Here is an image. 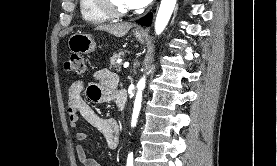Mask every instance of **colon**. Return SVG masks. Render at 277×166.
Here are the masks:
<instances>
[{
	"instance_id": "colon-1",
	"label": "colon",
	"mask_w": 277,
	"mask_h": 166,
	"mask_svg": "<svg viewBox=\"0 0 277 166\" xmlns=\"http://www.w3.org/2000/svg\"><path fill=\"white\" fill-rule=\"evenodd\" d=\"M64 70L68 73H83L85 70L83 56L77 53L71 54L64 63Z\"/></svg>"
}]
</instances>
